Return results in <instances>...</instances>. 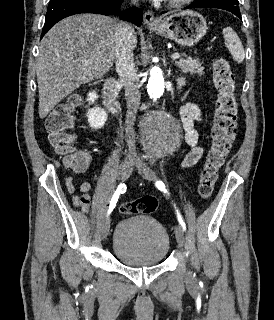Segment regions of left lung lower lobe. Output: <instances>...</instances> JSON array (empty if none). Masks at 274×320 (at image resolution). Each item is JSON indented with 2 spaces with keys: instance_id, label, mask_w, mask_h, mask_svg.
I'll return each instance as SVG.
<instances>
[{
  "instance_id": "obj_1",
  "label": "left lung lower lobe",
  "mask_w": 274,
  "mask_h": 320,
  "mask_svg": "<svg viewBox=\"0 0 274 320\" xmlns=\"http://www.w3.org/2000/svg\"><path fill=\"white\" fill-rule=\"evenodd\" d=\"M189 8H220V9H224V10L232 12L238 18L241 19V14H240V10L239 9L228 8V7L219 5V4L208 3V2H203V1H196L195 3L191 4L190 6H187L184 9H189ZM162 13H165V11L162 12Z\"/></svg>"
}]
</instances>
